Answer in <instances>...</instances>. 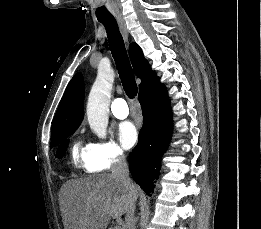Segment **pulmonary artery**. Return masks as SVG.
Listing matches in <instances>:
<instances>
[{
	"instance_id": "e3ab8cb5",
	"label": "pulmonary artery",
	"mask_w": 261,
	"mask_h": 229,
	"mask_svg": "<svg viewBox=\"0 0 261 229\" xmlns=\"http://www.w3.org/2000/svg\"><path fill=\"white\" fill-rule=\"evenodd\" d=\"M112 114L117 119H125L129 115V109L124 99L118 98L112 102Z\"/></svg>"
}]
</instances>
